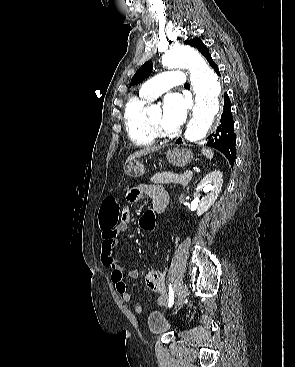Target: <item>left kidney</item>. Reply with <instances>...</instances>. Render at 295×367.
<instances>
[{"instance_id":"5707ae66","label":"left kidney","mask_w":295,"mask_h":367,"mask_svg":"<svg viewBox=\"0 0 295 367\" xmlns=\"http://www.w3.org/2000/svg\"><path fill=\"white\" fill-rule=\"evenodd\" d=\"M222 184L223 176L222 173L218 170L210 172L203 179H201L200 182H198L197 189L203 188L204 191L209 192L199 201L197 208L198 216L204 214L214 204L221 191Z\"/></svg>"}]
</instances>
